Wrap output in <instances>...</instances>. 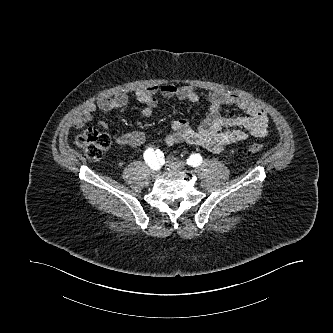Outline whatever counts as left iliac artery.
Instances as JSON below:
<instances>
[{"label":"left iliac artery","instance_id":"44dca946","mask_svg":"<svg viewBox=\"0 0 333 333\" xmlns=\"http://www.w3.org/2000/svg\"><path fill=\"white\" fill-rule=\"evenodd\" d=\"M186 162H187L188 165L196 167V166L201 164L202 157H201L200 154H193L187 159Z\"/></svg>","mask_w":333,"mask_h":333}]
</instances>
